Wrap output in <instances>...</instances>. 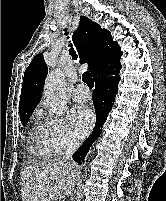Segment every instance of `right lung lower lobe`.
Instances as JSON below:
<instances>
[{
	"label": "right lung lower lobe",
	"instance_id": "1",
	"mask_svg": "<svg viewBox=\"0 0 166 201\" xmlns=\"http://www.w3.org/2000/svg\"><path fill=\"white\" fill-rule=\"evenodd\" d=\"M121 67V64H112L105 68L96 79H94L96 88L93 92V100L96 111V125L92 134L73 154V160L79 164H81L82 158L86 156L90 146L101 134L103 124L112 108L117 93Z\"/></svg>",
	"mask_w": 166,
	"mask_h": 201
}]
</instances>
